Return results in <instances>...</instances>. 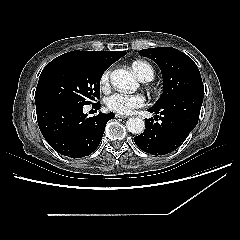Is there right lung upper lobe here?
I'll return each instance as SVG.
<instances>
[{
  "mask_svg": "<svg viewBox=\"0 0 240 240\" xmlns=\"http://www.w3.org/2000/svg\"><path fill=\"white\" fill-rule=\"evenodd\" d=\"M73 53L82 54L93 59L99 65L108 68L118 59L126 54L124 51H72Z\"/></svg>",
  "mask_w": 240,
  "mask_h": 240,
  "instance_id": "cb5924a9",
  "label": "right lung upper lobe"
}]
</instances>
